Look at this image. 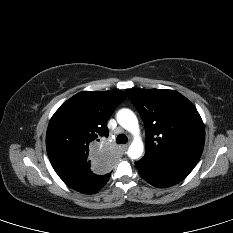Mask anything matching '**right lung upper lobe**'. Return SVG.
Returning a JSON list of instances; mask_svg holds the SVG:
<instances>
[{
  "mask_svg": "<svg viewBox=\"0 0 233 233\" xmlns=\"http://www.w3.org/2000/svg\"><path fill=\"white\" fill-rule=\"evenodd\" d=\"M126 97L119 90L83 91L59 107L46 133L48 157L59 176L112 167L113 154L105 147L106 124Z\"/></svg>",
  "mask_w": 233,
  "mask_h": 233,
  "instance_id": "right-lung-upper-lobe-1",
  "label": "right lung upper lobe"
}]
</instances>
